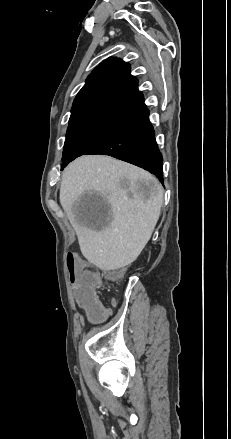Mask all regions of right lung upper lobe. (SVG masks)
<instances>
[{
    "label": "right lung upper lobe",
    "mask_w": 231,
    "mask_h": 439,
    "mask_svg": "<svg viewBox=\"0 0 231 439\" xmlns=\"http://www.w3.org/2000/svg\"><path fill=\"white\" fill-rule=\"evenodd\" d=\"M137 86L130 65L110 57L88 76L73 102L71 117L105 115L124 120L145 106Z\"/></svg>",
    "instance_id": "obj_1"
}]
</instances>
